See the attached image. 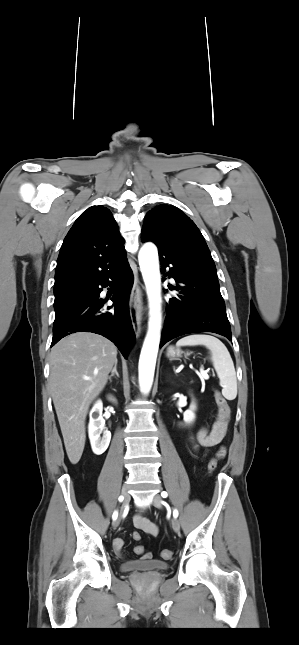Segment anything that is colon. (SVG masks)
<instances>
[{
  "instance_id": "5ec220e1",
  "label": "colon",
  "mask_w": 299,
  "mask_h": 645,
  "mask_svg": "<svg viewBox=\"0 0 299 645\" xmlns=\"http://www.w3.org/2000/svg\"><path fill=\"white\" fill-rule=\"evenodd\" d=\"M214 396H215L216 404L218 406V413L220 415L222 425L226 428L230 417V407H229L228 401L219 391H215ZM217 464H218V458L213 457L208 463V471L210 473H213L217 468ZM133 538L135 540H140L141 537L139 533H134ZM134 551L136 554L142 555L144 554V547L141 545H138L134 548ZM161 556L164 559H170L172 557V551L168 549H164L161 552Z\"/></svg>"
}]
</instances>
